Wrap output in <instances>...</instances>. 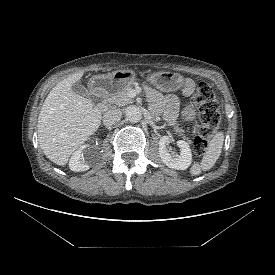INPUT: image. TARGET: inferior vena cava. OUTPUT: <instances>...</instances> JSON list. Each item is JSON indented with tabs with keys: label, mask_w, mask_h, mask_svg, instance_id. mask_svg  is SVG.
I'll use <instances>...</instances> for the list:
<instances>
[{
	"label": "inferior vena cava",
	"mask_w": 275,
	"mask_h": 275,
	"mask_svg": "<svg viewBox=\"0 0 275 275\" xmlns=\"http://www.w3.org/2000/svg\"><path fill=\"white\" fill-rule=\"evenodd\" d=\"M122 112L119 109H110L103 116V123L111 126L120 121Z\"/></svg>",
	"instance_id": "inferior-vena-cava-1"
}]
</instances>
